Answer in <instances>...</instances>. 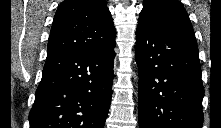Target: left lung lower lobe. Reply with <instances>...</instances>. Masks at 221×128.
<instances>
[{
    "label": "left lung lower lobe",
    "mask_w": 221,
    "mask_h": 128,
    "mask_svg": "<svg viewBox=\"0 0 221 128\" xmlns=\"http://www.w3.org/2000/svg\"><path fill=\"white\" fill-rule=\"evenodd\" d=\"M136 39L140 128H202L197 44L145 23Z\"/></svg>",
    "instance_id": "left-lung-lower-lobe-1"
}]
</instances>
